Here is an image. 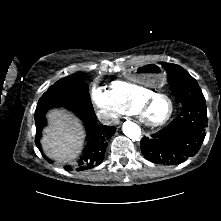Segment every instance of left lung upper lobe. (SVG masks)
Here are the masks:
<instances>
[{"label":"left lung upper lobe","mask_w":221,"mask_h":221,"mask_svg":"<svg viewBox=\"0 0 221 221\" xmlns=\"http://www.w3.org/2000/svg\"><path fill=\"white\" fill-rule=\"evenodd\" d=\"M162 65L168 73L169 84L178 102L184 105L205 99L198 83L185 69L171 63H163Z\"/></svg>","instance_id":"1"}]
</instances>
